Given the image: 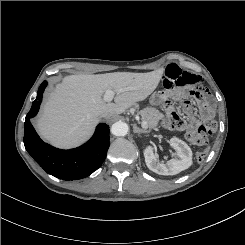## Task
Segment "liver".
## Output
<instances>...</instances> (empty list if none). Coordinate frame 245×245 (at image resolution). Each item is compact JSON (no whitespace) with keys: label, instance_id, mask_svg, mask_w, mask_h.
<instances>
[{"label":"liver","instance_id":"liver-1","mask_svg":"<svg viewBox=\"0 0 245 245\" xmlns=\"http://www.w3.org/2000/svg\"><path fill=\"white\" fill-rule=\"evenodd\" d=\"M164 69L148 73L114 72L100 75H70L57 84L36 122L41 136L59 148L86 141L102 118L117 116L145 100L158 86ZM114 103L106 102L107 90L117 91Z\"/></svg>","mask_w":245,"mask_h":245}]
</instances>
